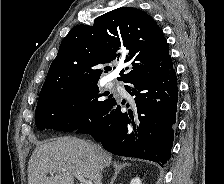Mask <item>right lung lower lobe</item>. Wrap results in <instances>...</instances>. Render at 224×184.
<instances>
[{
	"instance_id": "right-lung-lower-lobe-1",
	"label": "right lung lower lobe",
	"mask_w": 224,
	"mask_h": 184,
	"mask_svg": "<svg viewBox=\"0 0 224 184\" xmlns=\"http://www.w3.org/2000/svg\"><path fill=\"white\" fill-rule=\"evenodd\" d=\"M125 89L135 96V111L122 112L114 99L100 116L77 129L109 152L157 162L169 160L176 122L178 89L173 66L134 77Z\"/></svg>"
}]
</instances>
